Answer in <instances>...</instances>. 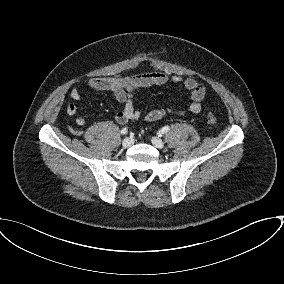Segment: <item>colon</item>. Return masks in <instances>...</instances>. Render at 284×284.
Segmentation results:
<instances>
[{
  "label": "colon",
  "mask_w": 284,
  "mask_h": 284,
  "mask_svg": "<svg viewBox=\"0 0 284 284\" xmlns=\"http://www.w3.org/2000/svg\"><path fill=\"white\" fill-rule=\"evenodd\" d=\"M207 120H208L209 124H211V125H216V123H217L216 117L211 112L207 113Z\"/></svg>",
  "instance_id": "obj_1"
}]
</instances>
